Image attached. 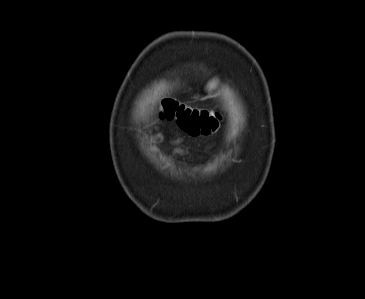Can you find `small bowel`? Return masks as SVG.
<instances>
[{
  "mask_svg": "<svg viewBox=\"0 0 365 299\" xmlns=\"http://www.w3.org/2000/svg\"><path fill=\"white\" fill-rule=\"evenodd\" d=\"M178 142H179V140H177V141H176V143H178ZM177 152H178V153H181V150H177Z\"/></svg>",
  "mask_w": 365,
  "mask_h": 299,
  "instance_id": "c3829d8e",
  "label": "small bowel"
}]
</instances>
